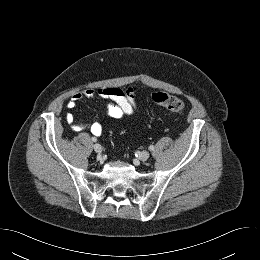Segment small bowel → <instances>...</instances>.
<instances>
[{"mask_svg": "<svg viewBox=\"0 0 260 260\" xmlns=\"http://www.w3.org/2000/svg\"><path fill=\"white\" fill-rule=\"evenodd\" d=\"M136 87H130L123 90L118 87H102L98 89L86 88L80 92L74 93L67 101V108L73 110L77 103L84 98L93 99L99 97L107 100L104 109L108 116L112 118H122L133 114L137 110ZM66 122L74 131L84 130L88 124L85 121L77 120L75 116L68 112L65 115ZM90 131L99 137L103 134L104 128L101 123L94 122L90 125Z\"/></svg>", "mask_w": 260, "mask_h": 260, "instance_id": "c3829d8e", "label": "small bowel"}]
</instances>
